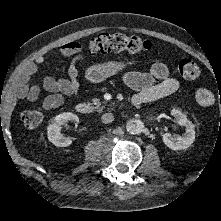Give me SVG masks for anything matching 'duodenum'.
Masks as SVG:
<instances>
[{
  "mask_svg": "<svg viewBox=\"0 0 221 221\" xmlns=\"http://www.w3.org/2000/svg\"><path fill=\"white\" fill-rule=\"evenodd\" d=\"M131 103L134 105V106H139L141 104H143L141 102V100L137 97V96H133V98L131 99ZM91 108L90 106L87 104V103H79L77 106H76V111L79 113V114H82V115H86L90 112Z\"/></svg>",
  "mask_w": 221,
  "mask_h": 221,
  "instance_id": "410a0bca",
  "label": "duodenum"
}]
</instances>
